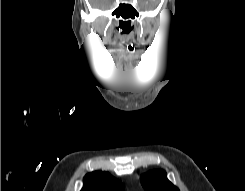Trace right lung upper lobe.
I'll return each instance as SVG.
<instances>
[{
  "mask_svg": "<svg viewBox=\"0 0 245 191\" xmlns=\"http://www.w3.org/2000/svg\"><path fill=\"white\" fill-rule=\"evenodd\" d=\"M81 191H122V185L108 172L96 171L84 177V186Z\"/></svg>",
  "mask_w": 245,
  "mask_h": 191,
  "instance_id": "1",
  "label": "right lung upper lobe"
}]
</instances>
